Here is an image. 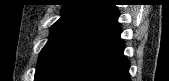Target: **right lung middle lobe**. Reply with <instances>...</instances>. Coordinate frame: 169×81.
<instances>
[{
    "mask_svg": "<svg viewBox=\"0 0 169 81\" xmlns=\"http://www.w3.org/2000/svg\"><path fill=\"white\" fill-rule=\"evenodd\" d=\"M85 23L87 22L78 18L59 19L50 29L49 41L40 52L36 70L49 59L55 50L64 43L73 32Z\"/></svg>",
    "mask_w": 169,
    "mask_h": 81,
    "instance_id": "dd1d6c3e",
    "label": "right lung middle lobe"
}]
</instances>
